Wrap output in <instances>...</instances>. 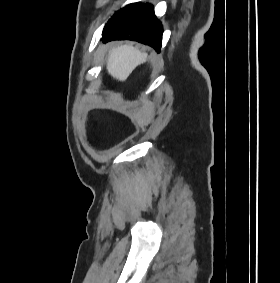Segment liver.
<instances>
[{"instance_id":"1","label":"liver","mask_w":280,"mask_h":283,"mask_svg":"<svg viewBox=\"0 0 280 283\" xmlns=\"http://www.w3.org/2000/svg\"><path fill=\"white\" fill-rule=\"evenodd\" d=\"M146 58V53L140 52L132 45H120L109 52L107 71L113 78L124 81Z\"/></svg>"}]
</instances>
